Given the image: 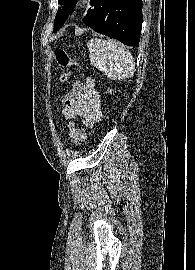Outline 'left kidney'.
Segmentation results:
<instances>
[{"label": "left kidney", "instance_id": "5707ae66", "mask_svg": "<svg viewBox=\"0 0 195 270\" xmlns=\"http://www.w3.org/2000/svg\"><path fill=\"white\" fill-rule=\"evenodd\" d=\"M109 92H110V93H112V90H111V89H109Z\"/></svg>", "mask_w": 195, "mask_h": 270}]
</instances>
